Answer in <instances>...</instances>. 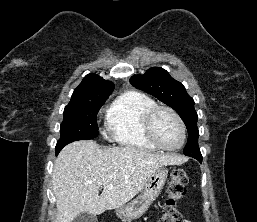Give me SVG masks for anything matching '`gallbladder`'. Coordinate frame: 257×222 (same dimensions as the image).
<instances>
[{
    "label": "gallbladder",
    "instance_id": "bac80fb5",
    "mask_svg": "<svg viewBox=\"0 0 257 222\" xmlns=\"http://www.w3.org/2000/svg\"><path fill=\"white\" fill-rule=\"evenodd\" d=\"M73 222H98V220L96 216L82 212L73 219Z\"/></svg>",
    "mask_w": 257,
    "mask_h": 222
}]
</instances>
